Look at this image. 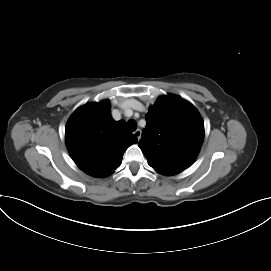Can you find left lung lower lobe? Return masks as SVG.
<instances>
[{
  "label": "left lung lower lobe",
  "mask_w": 271,
  "mask_h": 271,
  "mask_svg": "<svg viewBox=\"0 0 271 271\" xmlns=\"http://www.w3.org/2000/svg\"><path fill=\"white\" fill-rule=\"evenodd\" d=\"M154 169L156 171H158L159 173L164 174V175H175V173H172V172H168V171L161 170V169H158V168H154Z\"/></svg>",
  "instance_id": "1"
}]
</instances>
